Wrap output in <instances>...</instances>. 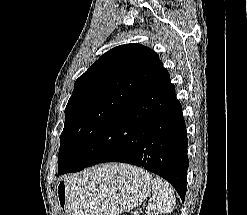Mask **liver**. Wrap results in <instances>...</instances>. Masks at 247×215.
<instances>
[{
    "mask_svg": "<svg viewBox=\"0 0 247 215\" xmlns=\"http://www.w3.org/2000/svg\"><path fill=\"white\" fill-rule=\"evenodd\" d=\"M120 168H121L122 170H126V169H127V166H126V165H120ZM113 169H114L113 164H112V165H105V167H104V170L107 171V172H110V171H112Z\"/></svg>",
    "mask_w": 247,
    "mask_h": 215,
    "instance_id": "1",
    "label": "liver"
}]
</instances>
